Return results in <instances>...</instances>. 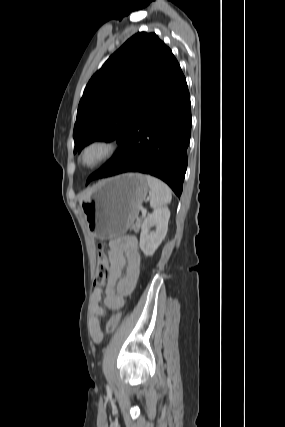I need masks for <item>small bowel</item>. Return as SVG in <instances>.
Listing matches in <instances>:
<instances>
[{
	"label": "small bowel",
	"mask_w": 285,
	"mask_h": 427,
	"mask_svg": "<svg viewBox=\"0 0 285 427\" xmlns=\"http://www.w3.org/2000/svg\"><path fill=\"white\" fill-rule=\"evenodd\" d=\"M109 275L104 288H96L91 296V306L94 314L91 327V336L94 342L100 343L104 338L100 318L106 316L100 306L104 293V304L108 310H117L124 305V297L129 295L138 279L142 255L135 236H122L110 243ZM126 273L122 276L123 269Z\"/></svg>",
	"instance_id": "c3829d8e"
}]
</instances>
